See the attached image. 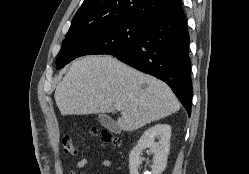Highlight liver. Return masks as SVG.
<instances>
[{
    "instance_id": "liver-1",
    "label": "liver",
    "mask_w": 249,
    "mask_h": 174,
    "mask_svg": "<svg viewBox=\"0 0 249 174\" xmlns=\"http://www.w3.org/2000/svg\"><path fill=\"white\" fill-rule=\"evenodd\" d=\"M62 115L115 112L117 124L134 131L180 109L172 90L162 81L106 56H86L75 61L55 90Z\"/></svg>"
}]
</instances>
